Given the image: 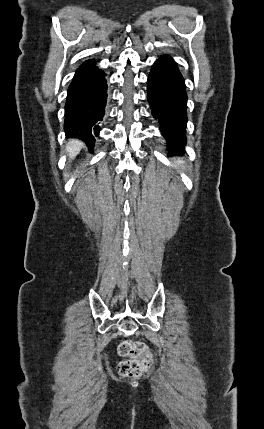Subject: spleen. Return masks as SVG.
<instances>
[{"label":"spleen","instance_id":"obj_1","mask_svg":"<svg viewBox=\"0 0 264 429\" xmlns=\"http://www.w3.org/2000/svg\"><path fill=\"white\" fill-rule=\"evenodd\" d=\"M177 164H178V165H181V164H183V161H182V160H178V161H177Z\"/></svg>","mask_w":264,"mask_h":429}]
</instances>
